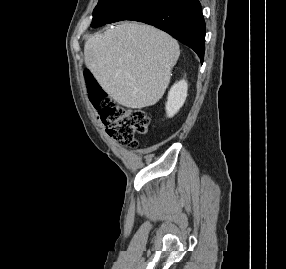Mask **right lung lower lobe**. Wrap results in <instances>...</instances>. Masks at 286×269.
<instances>
[{"label": "right lung lower lobe", "instance_id": "1", "mask_svg": "<svg viewBox=\"0 0 286 269\" xmlns=\"http://www.w3.org/2000/svg\"><path fill=\"white\" fill-rule=\"evenodd\" d=\"M127 20L153 25L192 48L204 60L206 26L198 0H157Z\"/></svg>", "mask_w": 286, "mask_h": 269}]
</instances>
